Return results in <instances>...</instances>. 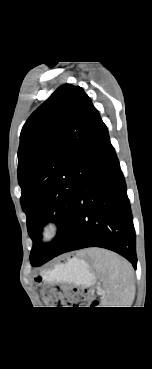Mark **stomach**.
I'll list each match as a JSON object with an SVG mask.
<instances>
[{
	"mask_svg": "<svg viewBox=\"0 0 152 369\" xmlns=\"http://www.w3.org/2000/svg\"><path fill=\"white\" fill-rule=\"evenodd\" d=\"M35 280L37 282L60 281L88 287L94 284L96 276L87 262L72 258L47 273L37 274Z\"/></svg>",
	"mask_w": 152,
	"mask_h": 369,
	"instance_id": "obj_1",
	"label": "stomach"
}]
</instances>
